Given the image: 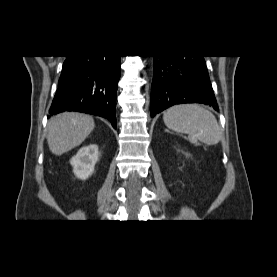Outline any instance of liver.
Masks as SVG:
<instances>
[{"instance_id":"1","label":"liver","mask_w":277,"mask_h":277,"mask_svg":"<svg viewBox=\"0 0 277 277\" xmlns=\"http://www.w3.org/2000/svg\"><path fill=\"white\" fill-rule=\"evenodd\" d=\"M95 127L94 119L86 114L65 112L48 123L47 142L50 151L61 155L79 146Z\"/></svg>"}]
</instances>
